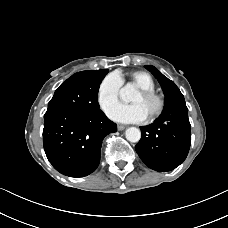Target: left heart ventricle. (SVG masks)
<instances>
[{
	"mask_svg": "<svg viewBox=\"0 0 228 228\" xmlns=\"http://www.w3.org/2000/svg\"><path fill=\"white\" fill-rule=\"evenodd\" d=\"M132 103L141 105L147 115L152 113L156 108V103L153 100L145 99L140 92L136 93L132 98Z\"/></svg>",
	"mask_w": 228,
	"mask_h": 228,
	"instance_id": "obj_1",
	"label": "left heart ventricle"
}]
</instances>
